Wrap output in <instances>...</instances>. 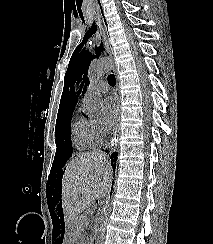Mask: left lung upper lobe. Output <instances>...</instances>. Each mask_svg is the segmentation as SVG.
<instances>
[{"label":"left lung upper lobe","mask_w":213,"mask_h":244,"mask_svg":"<svg viewBox=\"0 0 213 244\" xmlns=\"http://www.w3.org/2000/svg\"><path fill=\"white\" fill-rule=\"evenodd\" d=\"M81 47L82 45L74 51L70 59L64 79L61 105L70 102L76 96L74 88L75 83H80V89H82L87 77V69L90 61L98 57L97 55H92L89 51L85 50V48L82 50ZM96 51H98V49H96ZM86 82H89L88 79ZM77 94H79V91Z\"/></svg>","instance_id":"obj_1"}]
</instances>
